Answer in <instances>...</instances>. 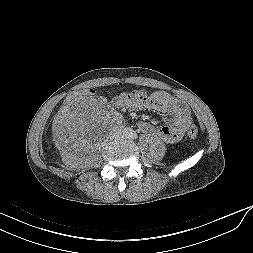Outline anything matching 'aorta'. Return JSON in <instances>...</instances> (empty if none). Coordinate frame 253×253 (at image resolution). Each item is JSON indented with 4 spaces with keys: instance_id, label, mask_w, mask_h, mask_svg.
Wrapping results in <instances>:
<instances>
[{
    "instance_id": "obj_1",
    "label": "aorta",
    "mask_w": 253,
    "mask_h": 253,
    "mask_svg": "<svg viewBox=\"0 0 253 253\" xmlns=\"http://www.w3.org/2000/svg\"><path fill=\"white\" fill-rule=\"evenodd\" d=\"M126 131H127V133H129V132H131V129H127Z\"/></svg>"
}]
</instances>
